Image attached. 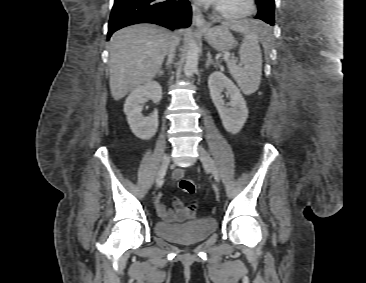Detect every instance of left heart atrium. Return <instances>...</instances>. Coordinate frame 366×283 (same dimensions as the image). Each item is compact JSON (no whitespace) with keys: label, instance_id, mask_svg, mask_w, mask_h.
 Here are the masks:
<instances>
[{"label":"left heart atrium","instance_id":"obj_1","mask_svg":"<svg viewBox=\"0 0 366 283\" xmlns=\"http://www.w3.org/2000/svg\"><path fill=\"white\" fill-rule=\"evenodd\" d=\"M199 1L205 2V3L217 4L220 0H199Z\"/></svg>","mask_w":366,"mask_h":283}]
</instances>
